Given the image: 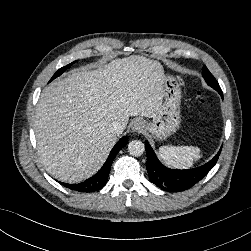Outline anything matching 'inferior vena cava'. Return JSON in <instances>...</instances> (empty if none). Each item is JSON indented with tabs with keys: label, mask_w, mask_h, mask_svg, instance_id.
Masks as SVG:
<instances>
[{
	"label": "inferior vena cava",
	"mask_w": 251,
	"mask_h": 251,
	"mask_svg": "<svg viewBox=\"0 0 251 251\" xmlns=\"http://www.w3.org/2000/svg\"><path fill=\"white\" fill-rule=\"evenodd\" d=\"M123 130H124V127L118 122H113L111 127L109 128V131L113 133L114 135L121 134Z\"/></svg>",
	"instance_id": "1"
}]
</instances>
